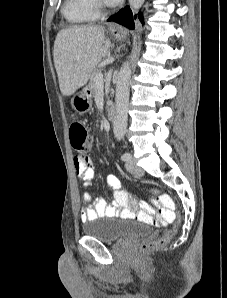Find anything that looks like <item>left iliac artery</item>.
Segmentation results:
<instances>
[{
  "instance_id": "obj_1",
  "label": "left iliac artery",
  "mask_w": 227,
  "mask_h": 298,
  "mask_svg": "<svg viewBox=\"0 0 227 298\" xmlns=\"http://www.w3.org/2000/svg\"><path fill=\"white\" fill-rule=\"evenodd\" d=\"M130 158H131V154L127 152L121 156V160L123 161H128Z\"/></svg>"
}]
</instances>
